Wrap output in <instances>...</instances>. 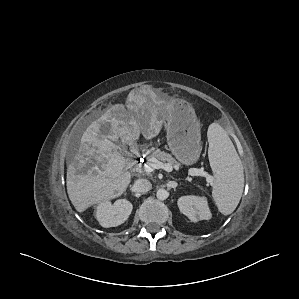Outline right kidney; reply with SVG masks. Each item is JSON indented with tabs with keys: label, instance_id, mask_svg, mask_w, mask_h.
<instances>
[{
	"label": "right kidney",
	"instance_id": "right-kidney-1",
	"mask_svg": "<svg viewBox=\"0 0 299 299\" xmlns=\"http://www.w3.org/2000/svg\"><path fill=\"white\" fill-rule=\"evenodd\" d=\"M132 209V204L126 199H118L114 204L108 200L96 207L95 216L102 227H116L128 219Z\"/></svg>",
	"mask_w": 299,
	"mask_h": 299
}]
</instances>
